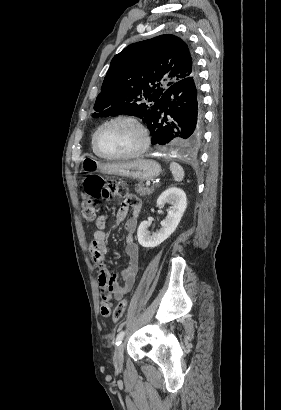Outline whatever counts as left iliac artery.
Listing matches in <instances>:
<instances>
[{
	"label": "left iliac artery",
	"instance_id": "1",
	"mask_svg": "<svg viewBox=\"0 0 281 410\" xmlns=\"http://www.w3.org/2000/svg\"><path fill=\"white\" fill-rule=\"evenodd\" d=\"M124 335H125V332H124V331H121V332L117 335V337H116V342H115V344H116L117 346H118L119 344H121V341H122Z\"/></svg>",
	"mask_w": 281,
	"mask_h": 410
}]
</instances>
